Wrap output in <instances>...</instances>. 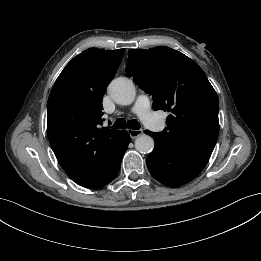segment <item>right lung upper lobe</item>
I'll return each instance as SVG.
<instances>
[{
  "label": "right lung upper lobe",
  "instance_id": "1",
  "mask_svg": "<svg viewBox=\"0 0 261 261\" xmlns=\"http://www.w3.org/2000/svg\"><path fill=\"white\" fill-rule=\"evenodd\" d=\"M125 49L91 48L75 56L57 78L48 99L47 133L62 168L77 184L108 164L124 130L102 127V96Z\"/></svg>",
  "mask_w": 261,
  "mask_h": 261
}]
</instances>
